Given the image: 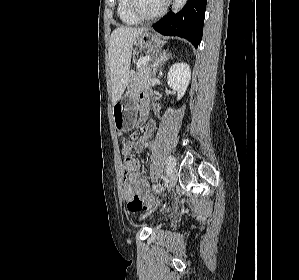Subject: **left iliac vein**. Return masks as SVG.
<instances>
[{"instance_id":"obj_1","label":"left iliac vein","mask_w":299,"mask_h":280,"mask_svg":"<svg viewBox=\"0 0 299 280\" xmlns=\"http://www.w3.org/2000/svg\"><path fill=\"white\" fill-rule=\"evenodd\" d=\"M176 181H177V171L173 169L169 174L168 183H167L169 191H171L174 188Z\"/></svg>"}]
</instances>
